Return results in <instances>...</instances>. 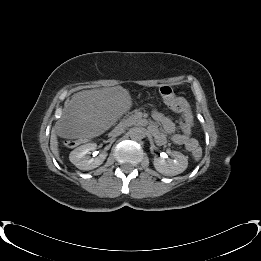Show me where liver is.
Instances as JSON below:
<instances>
[{
    "label": "liver",
    "instance_id": "liver-1",
    "mask_svg": "<svg viewBox=\"0 0 261 261\" xmlns=\"http://www.w3.org/2000/svg\"><path fill=\"white\" fill-rule=\"evenodd\" d=\"M132 106L122 87L84 91L70 101L53 128L55 139L88 140L108 131Z\"/></svg>",
    "mask_w": 261,
    "mask_h": 261
}]
</instances>
